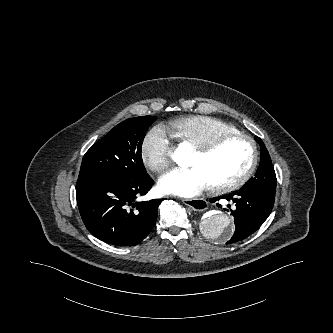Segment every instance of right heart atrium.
<instances>
[{"label": "right heart atrium", "instance_id": "right-heart-atrium-1", "mask_svg": "<svg viewBox=\"0 0 333 333\" xmlns=\"http://www.w3.org/2000/svg\"><path fill=\"white\" fill-rule=\"evenodd\" d=\"M140 156L146 168L155 173H163L172 162V146L165 129L153 127L143 138Z\"/></svg>", "mask_w": 333, "mask_h": 333}]
</instances>
